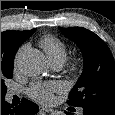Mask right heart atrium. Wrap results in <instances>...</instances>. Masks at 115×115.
Segmentation results:
<instances>
[{"label": "right heart atrium", "instance_id": "obj_1", "mask_svg": "<svg viewBox=\"0 0 115 115\" xmlns=\"http://www.w3.org/2000/svg\"><path fill=\"white\" fill-rule=\"evenodd\" d=\"M27 47H28L27 45H24V46H22V47L20 48V50L18 51V53H17V55H16V58H15V62H14V68H15V70L17 69L18 59H19L21 53H22L23 51H25V50L27 49Z\"/></svg>", "mask_w": 115, "mask_h": 115}]
</instances>
